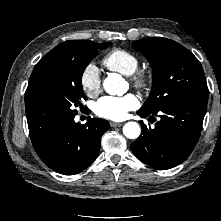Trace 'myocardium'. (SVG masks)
Segmentation results:
<instances>
[{
  "instance_id": "myocardium-1",
  "label": "myocardium",
  "mask_w": 221,
  "mask_h": 221,
  "mask_svg": "<svg viewBox=\"0 0 221 221\" xmlns=\"http://www.w3.org/2000/svg\"><path fill=\"white\" fill-rule=\"evenodd\" d=\"M130 82L135 88H137L139 90H145L151 84V76H150V74H148L144 71H137L136 70L130 76Z\"/></svg>"
}]
</instances>
